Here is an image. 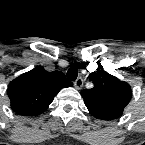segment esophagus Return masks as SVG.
Returning a JSON list of instances; mask_svg holds the SVG:
<instances>
[{
	"mask_svg": "<svg viewBox=\"0 0 145 145\" xmlns=\"http://www.w3.org/2000/svg\"><path fill=\"white\" fill-rule=\"evenodd\" d=\"M74 86L78 90L81 89V87L83 86V79L81 77L77 78L74 82Z\"/></svg>",
	"mask_w": 145,
	"mask_h": 145,
	"instance_id": "1",
	"label": "esophagus"
}]
</instances>
